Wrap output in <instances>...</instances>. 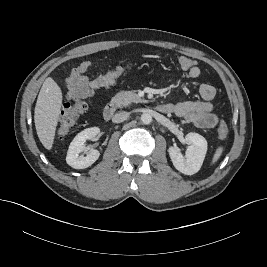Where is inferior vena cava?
<instances>
[{"label": "inferior vena cava", "instance_id": "1", "mask_svg": "<svg viewBox=\"0 0 267 267\" xmlns=\"http://www.w3.org/2000/svg\"><path fill=\"white\" fill-rule=\"evenodd\" d=\"M128 117H129V113L128 112H125V111L118 112L113 116L112 122L121 123V122L125 121Z\"/></svg>", "mask_w": 267, "mask_h": 267}]
</instances>
